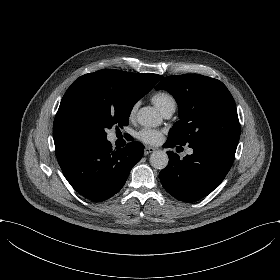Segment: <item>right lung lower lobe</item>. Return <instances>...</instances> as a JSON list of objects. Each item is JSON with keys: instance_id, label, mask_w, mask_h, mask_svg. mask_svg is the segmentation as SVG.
<instances>
[{"instance_id": "obj_1", "label": "right lung lower lobe", "mask_w": 280, "mask_h": 280, "mask_svg": "<svg viewBox=\"0 0 280 280\" xmlns=\"http://www.w3.org/2000/svg\"><path fill=\"white\" fill-rule=\"evenodd\" d=\"M144 146L131 142L112 150L109 141H91L77 146L57 158L70 185L83 197L101 202L109 199L125 184Z\"/></svg>"}]
</instances>
